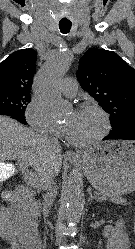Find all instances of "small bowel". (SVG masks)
Instances as JSON below:
<instances>
[{"label": "small bowel", "mask_w": 135, "mask_h": 249, "mask_svg": "<svg viewBox=\"0 0 135 249\" xmlns=\"http://www.w3.org/2000/svg\"><path fill=\"white\" fill-rule=\"evenodd\" d=\"M0 237L10 243L6 249H23L25 246L24 225L12 206L0 205Z\"/></svg>", "instance_id": "c3829d8e"}]
</instances>
